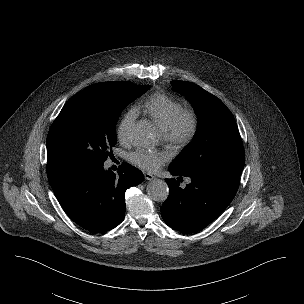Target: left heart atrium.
I'll return each mask as SVG.
<instances>
[{"mask_svg": "<svg viewBox=\"0 0 304 304\" xmlns=\"http://www.w3.org/2000/svg\"><path fill=\"white\" fill-rule=\"evenodd\" d=\"M170 153L167 151H148L139 149L129 155V161L140 169L146 171H156L168 159Z\"/></svg>", "mask_w": 304, "mask_h": 304, "instance_id": "1", "label": "left heart atrium"}]
</instances>
